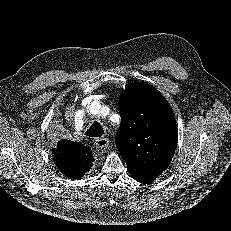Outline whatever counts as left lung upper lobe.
<instances>
[{
  "instance_id": "1",
  "label": "left lung upper lobe",
  "mask_w": 231,
  "mask_h": 231,
  "mask_svg": "<svg viewBox=\"0 0 231 231\" xmlns=\"http://www.w3.org/2000/svg\"><path fill=\"white\" fill-rule=\"evenodd\" d=\"M121 125L116 146L132 176H159L177 145V125L166 99L153 86L134 83L118 102Z\"/></svg>"
}]
</instances>
